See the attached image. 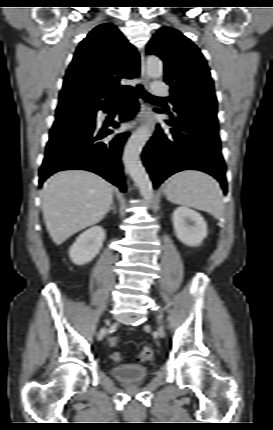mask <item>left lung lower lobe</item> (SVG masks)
Returning <instances> with one entry per match:
<instances>
[{
    "mask_svg": "<svg viewBox=\"0 0 273 430\" xmlns=\"http://www.w3.org/2000/svg\"><path fill=\"white\" fill-rule=\"evenodd\" d=\"M171 118L166 121L169 131L157 126L142 154L154 187L176 172L195 169L214 176L227 193L217 119H188L182 115Z\"/></svg>",
    "mask_w": 273,
    "mask_h": 430,
    "instance_id": "left-lung-lower-lobe-1",
    "label": "left lung lower lobe"
}]
</instances>
